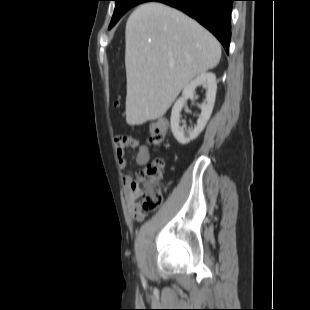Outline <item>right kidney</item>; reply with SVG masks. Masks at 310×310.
<instances>
[{"label": "right kidney", "mask_w": 310, "mask_h": 310, "mask_svg": "<svg viewBox=\"0 0 310 310\" xmlns=\"http://www.w3.org/2000/svg\"><path fill=\"white\" fill-rule=\"evenodd\" d=\"M205 84L207 86L206 103L201 105V114L197 120V125L186 129V126H180V112L185 106L188 98H193L195 89ZM217 90L216 76L212 72H204L195 77L186 87H184L181 97L175 102L171 112V131L181 145H186L198 137L205 128L215 103Z\"/></svg>", "instance_id": "right-kidney-1"}]
</instances>
